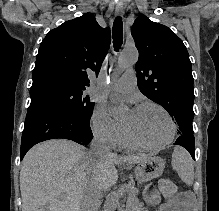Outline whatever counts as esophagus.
<instances>
[{"mask_svg":"<svg viewBox=\"0 0 219 211\" xmlns=\"http://www.w3.org/2000/svg\"><path fill=\"white\" fill-rule=\"evenodd\" d=\"M123 12V6L122 5H116L115 7V13L117 15L121 14Z\"/></svg>","mask_w":219,"mask_h":211,"instance_id":"obj_1","label":"esophagus"}]
</instances>
